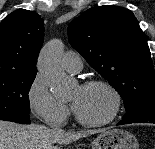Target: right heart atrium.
Listing matches in <instances>:
<instances>
[{"instance_id":"d8ad5b80","label":"right heart atrium","mask_w":155,"mask_h":149,"mask_svg":"<svg viewBox=\"0 0 155 149\" xmlns=\"http://www.w3.org/2000/svg\"><path fill=\"white\" fill-rule=\"evenodd\" d=\"M28 100L33 112L45 123L62 126L67 122L69 109L50 91L45 79L37 74L28 89Z\"/></svg>"}]
</instances>
